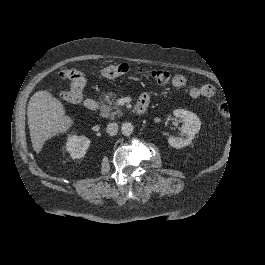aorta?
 Returning a JSON list of instances; mask_svg holds the SVG:
<instances>
[{
  "instance_id": "1",
  "label": "aorta",
  "mask_w": 265,
  "mask_h": 265,
  "mask_svg": "<svg viewBox=\"0 0 265 265\" xmlns=\"http://www.w3.org/2000/svg\"><path fill=\"white\" fill-rule=\"evenodd\" d=\"M133 130L134 127L130 122H125L122 124L121 131L123 135L129 136L132 134Z\"/></svg>"
}]
</instances>
